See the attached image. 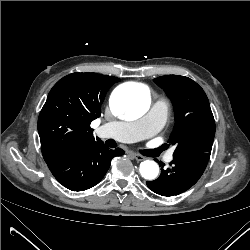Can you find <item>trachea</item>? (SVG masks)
<instances>
[{
  "label": "trachea",
  "mask_w": 250,
  "mask_h": 250,
  "mask_svg": "<svg viewBox=\"0 0 250 250\" xmlns=\"http://www.w3.org/2000/svg\"><path fill=\"white\" fill-rule=\"evenodd\" d=\"M112 142H114V141L109 139L106 143H107L108 146L114 147Z\"/></svg>",
  "instance_id": "trachea-1"
}]
</instances>
